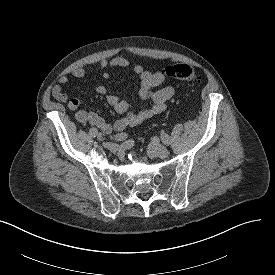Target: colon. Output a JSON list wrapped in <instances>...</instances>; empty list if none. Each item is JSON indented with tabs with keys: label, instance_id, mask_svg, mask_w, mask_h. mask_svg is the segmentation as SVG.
Segmentation results:
<instances>
[{
	"label": "colon",
	"instance_id": "obj_1",
	"mask_svg": "<svg viewBox=\"0 0 275 275\" xmlns=\"http://www.w3.org/2000/svg\"><path fill=\"white\" fill-rule=\"evenodd\" d=\"M164 74L168 78L185 81L191 84L199 85L201 78L195 67L188 64H175L167 66Z\"/></svg>",
	"mask_w": 275,
	"mask_h": 275
}]
</instances>
